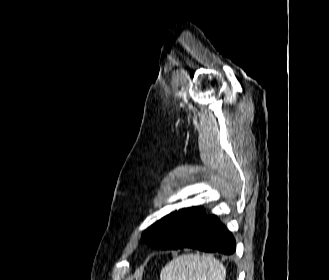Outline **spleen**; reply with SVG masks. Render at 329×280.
I'll list each match as a JSON object with an SVG mask.
<instances>
[{
    "label": "spleen",
    "mask_w": 329,
    "mask_h": 280,
    "mask_svg": "<svg viewBox=\"0 0 329 280\" xmlns=\"http://www.w3.org/2000/svg\"><path fill=\"white\" fill-rule=\"evenodd\" d=\"M225 267L211 255L187 254L162 268L160 280H225Z\"/></svg>",
    "instance_id": "1"
}]
</instances>
